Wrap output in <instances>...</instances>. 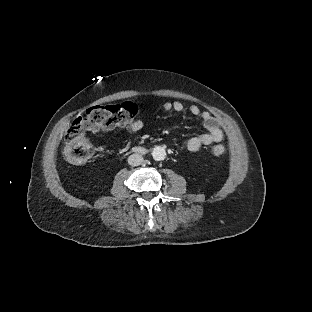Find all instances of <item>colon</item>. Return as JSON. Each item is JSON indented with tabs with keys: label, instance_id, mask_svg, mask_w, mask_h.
<instances>
[{
	"label": "colon",
	"instance_id": "5ec220e1",
	"mask_svg": "<svg viewBox=\"0 0 312 312\" xmlns=\"http://www.w3.org/2000/svg\"><path fill=\"white\" fill-rule=\"evenodd\" d=\"M141 106L124 102L121 104L95 105L87 110L85 117L79 118L64 132V155L72 166L84 164L93 153V145L87 137L88 132H102L115 126L132 123L141 112ZM226 151L223 143H217L211 148L214 156H220Z\"/></svg>",
	"mask_w": 312,
	"mask_h": 312
}]
</instances>
